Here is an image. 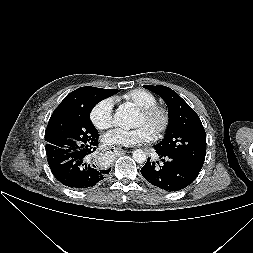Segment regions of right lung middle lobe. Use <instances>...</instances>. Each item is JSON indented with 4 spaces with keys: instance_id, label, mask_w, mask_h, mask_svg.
<instances>
[{
    "instance_id": "right-lung-middle-lobe-1",
    "label": "right lung middle lobe",
    "mask_w": 253,
    "mask_h": 253,
    "mask_svg": "<svg viewBox=\"0 0 253 253\" xmlns=\"http://www.w3.org/2000/svg\"><path fill=\"white\" fill-rule=\"evenodd\" d=\"M118 93L96 87H81L73 91L65 106L55 110L45 131L46 154L59 157L88 148L99 136L90 121V112L101 100Z\"/></svg>"
}]
</instances>
